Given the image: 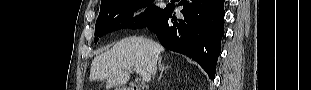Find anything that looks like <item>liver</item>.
<instances>
[{
	"mask_svg": "<svg viewBox=\"0 0 311 90\" xmlns=\"http://www.w3.org/2000/svg\"><path fill=\"white\" fill-rule=\"evenodd\" d=\"M164 48L156 42L141 37H128L117 42L105 53L94 58L90 80H107V88L125 85L132 68H140L150 75L157 69L158 56Z\"/></svg>",
	"mask_w": 311,
	"mask_h": 90,
	"instance_id": "6515ba94",
	"label": "liver"
}]
</instances>
